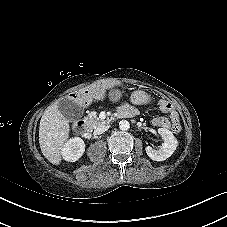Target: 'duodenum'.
I'll return each mask as SVG.
<instances>
[{
    "label": "duodenum",
    "mask_w": 227,
    "mask_h": 227,
    "mask_svg": "<svg viewBox=\"0 0 227 227\" xmlns=\"http://www.w3.org/2000/svg\"><path fill=\"white\" fill-rule=\"evenodd\" d=\"M133 114L119 111L118 118L131 117ZM77 133L84 136L87 133L88 124L84 120H78L74 126Z\"/></svg>",
    "instance_id": "obj_1"
}]
</instances>
